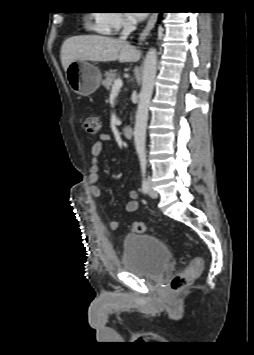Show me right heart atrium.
<instances>
[{"instance_id":"1","label":"right heart atrium","mask_w":254,"mask_h":355,"mask_svg":"<svg viewBox=\"0 0 254 355\" xmlns=\"http://www.w3.org/2000/svg\"><path fill=\"white\" fill-rule=\"evenodd\" d=\"M94 21L95 28L106 34H115L133 26L130 15L118 9L104 10L97 13Z\"/></svg>"}]
</instances>
